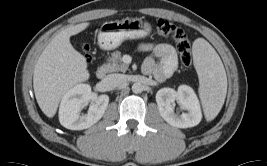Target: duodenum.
Returning a JSON list of instances; mask_svg holds the SVG:
<instances>
[{
  "label": "duodenum",
  "instance_id": "obj_1",
  "mask_svg": "<svg viewBox=\"0 0 267 166\" xmlns=\"http://www.w3.org/2000/svg\"><path fill=\"white\" fill-rule=\"evenodd\" d=\"M106 74V69L104 67H99L97 70H96V77L98 79H102L104 78Z\"/></svg>",
  "mask_w": 267,
  "mask_h": 166
}]
</instances>
